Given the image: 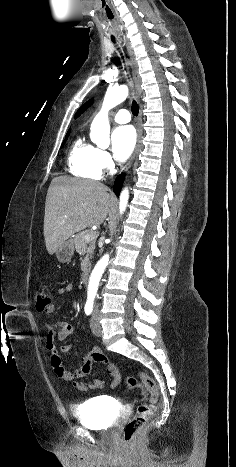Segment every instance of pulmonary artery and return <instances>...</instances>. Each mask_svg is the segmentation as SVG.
Segmentation results:
<instances>
[{"instance_id":"pulmonary-artery-1","label":"pulmonary artery","mask_w":236,"mask_h":467,"mask_svg":"<svg viewBox=\"0 0 236 467\" xmlns=\"http://www.w3.org/2000/svg\"><path fill=\"white\" fill-rule=\"evenodd\" d=\"M112 118L117 123H128L131 119L127 110L122 109L112 115Z\"/></svg>"}]
</instances>
